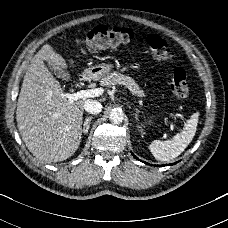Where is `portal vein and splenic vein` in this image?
I'll return each instance as SVG.
<instances>
[{
    "instance_id": "1",
    "label": "portal vein and splenic vein",
    "mask_w": 228,
    "mask_h": 228,
    "mask_svg": "<svg viewBox=\"0 0 228 228\" xmlns=\"http://www.w3.org/2000/svg\"><path fill=\"white\" fill-rule=\"evenodd\" d=\"M104 93V89L103 88H95V89H89V90H80L78 92L75 93H66L65 97L70 101H77L79 99H83V98H89V97H99ZM173 119L177 120V121H183V116L180 114H173ZM174 126H168L165 125L164 129H163V133L160 136L161 140H165L167 138V133L169 135H171L172 138L176 137V133L174 132Z\"/></svg>"
}]
</instances>
